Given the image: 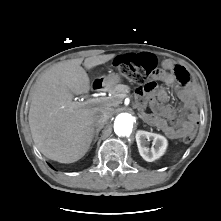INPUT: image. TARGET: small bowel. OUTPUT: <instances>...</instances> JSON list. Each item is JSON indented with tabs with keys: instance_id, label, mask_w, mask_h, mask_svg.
<instances>
[{
	"instance_id": "c3829d8e",
	"label": "small bowel",
	"mask_w": 221,
	"mask_h": 221,
	"mask_svg": "<svg viewBox=\"0 0 221 221\" xmlns=\"http://www.w3.org/2000/svg\"><path fill=\"white\" fill-rule=\"evenodd\" d=\"M142 53H126L120 55L119 58L127 57L133 61ZM163 71L160 72L159 78L166 83H176L178 86V94L181 104L178 108H174L167 104L168 94L162 87H156L152 90L139 89L137 96L141 102H149L151 113L148 119L157 127L162 129L164 133L172 139L182 137L183 133L196 122V113L193 110V103L190 97L189 73L186 68L175 63L170 59L162 62ZM184 82L185 85L180 86L179 83Z\"/></svg>"
}]
</instances>
